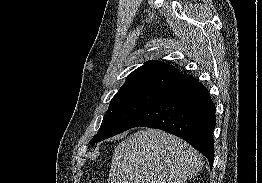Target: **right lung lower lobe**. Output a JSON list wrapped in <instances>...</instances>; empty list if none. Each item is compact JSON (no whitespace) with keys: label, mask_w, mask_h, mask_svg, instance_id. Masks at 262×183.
<instances>
[{"label":"right lung lower lobe","mask_w":262,"mask_h":183,"mask_svg":"<svg viewBox=\"0 0 262 183\" xmlns=\"http://www.w3.org/2000/svg\"><path fill=\"white\" fill-rule=\"evenodd\" d=\"M215 111L207 88L193 76L183 75L161 88L123 131L143 126L174 134L201 152L212 168Z\"/></svg>","instance_id":"1"}]
</instances>
